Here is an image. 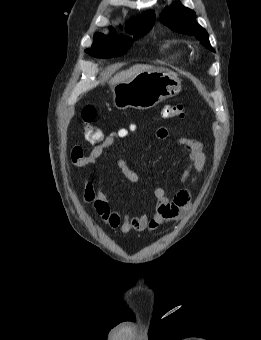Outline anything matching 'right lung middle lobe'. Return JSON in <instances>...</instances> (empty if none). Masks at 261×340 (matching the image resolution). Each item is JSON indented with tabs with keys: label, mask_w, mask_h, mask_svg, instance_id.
Instances as JSON below:
<instances>
[{
	"label": "right lung middle lobe",
	"mask_w": 261,
	"mask_h": 340,
	"mask_svg": "<svg viewBox=\"0 0 261 340\" xmlns=\"http://www.w3.org/2000/svg\"><path fill=\"white\" fill-rule=\"evenodd\" d=\"M153 24L154 21L148 23H130L127 25L126 30L133 35V38L117 35L112 27L110 28L111 34L109 36L96 33L92 49H87L86 52L97 57L120 56L127 51L135 40L147 34L153 27Z\"/></svg>",
	"instance_id": "right-lung-middle-lobe-1"
}]
</instances>
